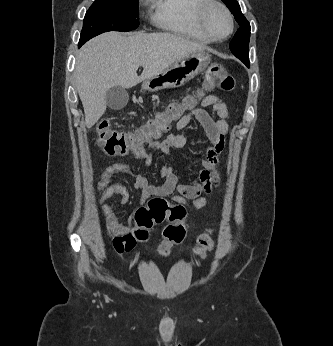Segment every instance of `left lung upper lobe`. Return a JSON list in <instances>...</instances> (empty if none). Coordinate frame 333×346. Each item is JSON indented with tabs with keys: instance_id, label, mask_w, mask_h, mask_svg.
<instances>
[{
	"instance_id": "5c2ea615",
	"label": "left lung upper lobe",
	"mask_w": 333,
	"mask_h": 346,
	"mask_svg": "<svg viewBox=\"0 0 333 346\" xmlns=\"http://www.w3.org/2000/svg\"><path fill=\"white\" fill-rule=\"evenodd\" d=\"M234 15L235 20L240 25L232 42L230 50L239 58L245 65L249 66V38L250 24L241 12L239 3L236 0H222Z\"/></svg>"
}]
</instances>
